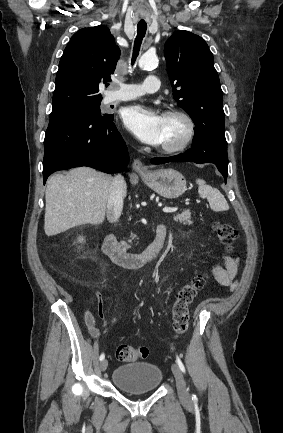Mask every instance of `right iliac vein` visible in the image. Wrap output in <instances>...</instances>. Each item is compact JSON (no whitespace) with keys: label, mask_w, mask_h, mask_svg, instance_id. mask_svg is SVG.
<instances>
[{"label":"right iliac vein","mask_w":283,"mask_h":433,"mask_svg":"<svg viewBox=\"0 0 283 433\" xmlns=\"http://www.w3.org/2000/svg\"><path fill=\"white\" fill-rule=\"evenodd\" d=\"M107 367H108V362L106 359H103L100 363V368L102 371H105L107 369Z\"/></svg>","instance_id":"right-iliac-vein-1"}]
</instances>
